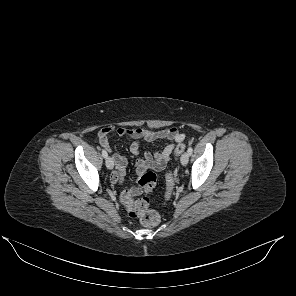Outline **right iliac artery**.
I'll return each mask as SVG.
<instances>
[{
    "mask_svg": "<svg viewBox=\"0 0 296 296\" xmlns=\"http://www.w3.org/2000/svg\"><path fill=\"white\" fill-rule=\"evenodd\" d=\"M102 156H103L104 158H107L108 154H107V152H106L105 150H102Z\"/></svg>",
    "mask_w": 296,
    "mask_h": 296,
    "instance_id": "obj_1",
    "label": "right iliac artery"
}]
</instances>
